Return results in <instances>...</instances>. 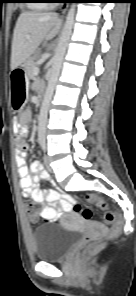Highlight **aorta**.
I'll return each instance as SVG.
<instances>
[{
	"label": "aorta",
	"mask_w": 136,
	"mask_h": 296,
	"mask_svg": "<svg viewBox=\"0 0 136 296\" xmlns=\"http://www.w3.org/2000/svg\"><path fill=\"white\" fill-rule=\"evenodd\" d=\"M75 8H76L75 3H72L66 16V21H65L57 48L55 50V55L52 59V67H51L50 75L48 79V86L46 88V92H45L42 106L40 109V114L38 117V137L40 140H44L46 136L48 110H49L54 89L58 81V77L60 75L64 55L71 37V33L74 25V19H75Z\"/></svg>",
	"instance_id": "aorta-1"
}]
</instances>
